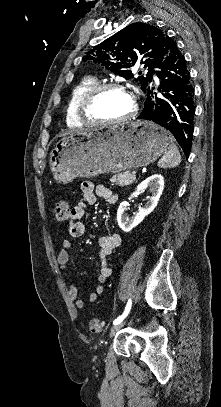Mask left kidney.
<instances>
[{
	"mask_svg": "<svg viewBox=\"0 0 221 407\" xmlns=\"http://www.w3.org/2000/svg\"><path fill=\"white\" fill-rule=\"evenodd\" d=\"M149 188L152 192V196L149 198V201L146 205L139 210V212L134 217H129L126 215V210L129 205L127 201H124L120 204L118 211H117V221L119 227L124 232H130L134 227L140 224L144 218L150 214L158 204L159 198L164 189V178L160 174H154L143 182H141L136 190L131 194V197L139 195L140 193L144 192L145 189Z\"/></svg>",
	"mask_w": 221,
	"mask_h": 407,
	"instance_id": "5707ae66",
	"label": "left kidney"
}]
</instances>
